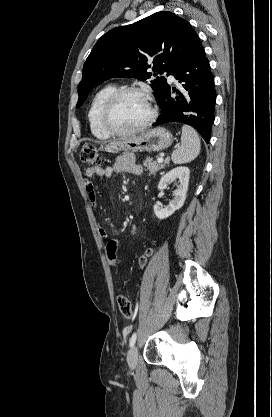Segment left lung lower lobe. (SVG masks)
<instances>
[{"label":"left lung lower lobe","instance_id":"1","mask_svg":"<svg viewBox=\"0 0 272 417\" xmlns=\"http://www.w3.org/2000/svg\"><path fill=\"white\" fill-rule=\"evenodd\" d=\"M181 85L168 84L158 100L162 112L153 126L180 122L194 127L208 143L211 137L216 91L203 46L180 62L170 73ZM178 96L171 98V92Z\"/></svg>","mask_w":272,"mask_h":417}]
</instances>
